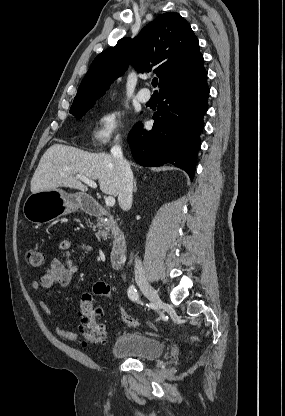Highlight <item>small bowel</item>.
I'll return each mask as SVG.
<instances>
[{
    "label": "small bowel",
    "instance_id": "1",
    "mask_svg": "<svg viewBox=\"0 0 285 416\" xmlns=\"http://www.w3.org/2000/svg\"><path fill=\"white\" fill-rule=\"evenodd\" d=\"M71 241L68 239H62L59 244V250L65 252L66 254V261L62 262L58 259H54L51 261L49 267L46 269L44 274L38 281H34L32 283V287L35 290H39L40 288L50 289L54 286L59 287H67L70 285L74 274L77 271V267L74 265L73 261L69 258L70 256V249H71ZM86 249H88L86 247ZM39 305L41 309L48 315L56 317V313L54 310L44 301L40 300ZM56 332L59 337L69 340V341H78L79 335L73 331L67 330L61 322L57 323Z\"/></svg>",
    "mask_w": 285,
    "mask_h": 416
}]
</instances>
